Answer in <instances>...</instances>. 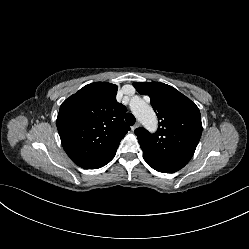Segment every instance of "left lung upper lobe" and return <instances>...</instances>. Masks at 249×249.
Masks as SVG:
<instances>
[{
    "label": "left lung upper lobe",
    "instance_id": "1",
    "mask_svg": "<svg viewBox=\"0 0 249 249\" xmlns=\"http://www.w3.org/2000/svg\"><path fill=\"white\" fill-rule=\"evenodd\" d=\"M148 95L159 120L151 134L137 128L135 134L146 162L183 168L192 158L202 134L200 111L196 104L174 87L159 83H133Z\"/></svg>",
    "mask_w": 249,
    "mask_h": 249
}]
</instances>
